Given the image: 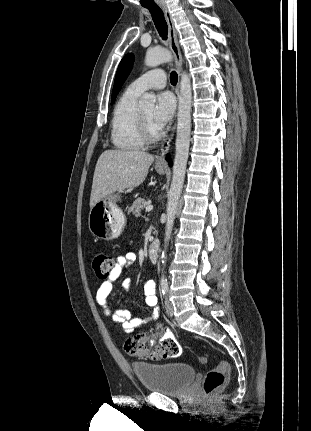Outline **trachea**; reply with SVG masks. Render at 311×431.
<instances>
[{
    "label": "trachea",
    "instance_id": "trachea-1",
    "mask_svg": "<svg viewBox=\"0 0 311 431\" xmlns=\"http://www.w3.org/2000/svg\"><path fill=\"white\" fill-rule=\"evenodd\" d=\"M150 11L152 15L153 22L157 28L158 33L160 34L161 38L163 40H167V34H168V27L165 20V17L163 15V12L161 8L159 7H146ZM178 81V76L176 72H171L170 74V82L172 85H176Z\"/></svg>",
    "mask_w": 311,
    "mask_h": 431
}]
</instances>
